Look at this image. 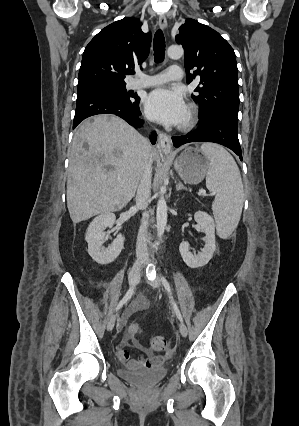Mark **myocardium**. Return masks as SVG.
I'll use <instances>...</instances> for the list:
<instances>
[{
    "label": "myocardium",
    "mask_w": 299,
    "mask_h": 426,
    "mask_svg": "<svg viewBox=\"0 0 299 426\" xmlns=\"http://www.w3.org/2000/svg\"><path fill=\"white\" fill-rule=\"evenodd\" d=\"M198 120V110L197 107L193 104H190L188 106L187 109V118L184 121V123H182V125L180 126V128L182 130H188L190 128H192L196 122Z\"/></svg>",
    "instance_id": "f54148a6"
}]
</instances>
